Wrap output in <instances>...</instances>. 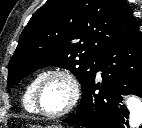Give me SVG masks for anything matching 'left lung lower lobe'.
<instances>
[{
    "label": "left lung lower lobe",
    "instance_id": "obj_1",
    "mask_svg": "<svg viewBox=\"0 0 142 128\" xmlns=\"http://www.w3.org/2000/svg\"><path fill=\"white\" fill-rule=\"evenodd\" d=\"M101 71L102 83H95ZM142 97V35L137 29L128 38L109 47L99 60L95 74L82 92L77 112L63 122L85 128H125L128 112L121 95Z\"/></svg>",
    "mask_w": 142,
    "mask_h": 128
}]
</instances>
